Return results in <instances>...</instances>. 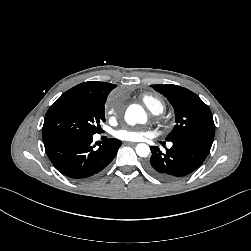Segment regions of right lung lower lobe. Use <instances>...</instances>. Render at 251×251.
Instances as JSON below:
<instances>
[{
  "mask_svg": "<svg viewBox=\"0 0 251 251\" xmlns=\"http://www.w3.org/2000/svg\"><path fill=\"white\" fill-rule=\"evenodd\" d=\"M46 153L62 174L85 179L103 170L116 156L121 141L93 143L92 136L56 137L44 140Z\"/></svg>",
  "mask_w": 251,
  "mask_h": 251,
  "instance_id": "right-lung-lower-lobe-1",
  "label": "right lung lower lobe"
}]
</instances>
